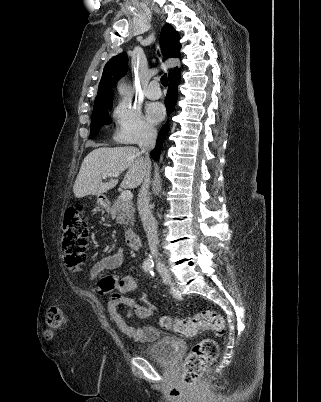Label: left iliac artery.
<instances>
[{"instance_id": "44dca946", "label": "left iliac artery", "mask_w": 321, "mask_h": 402, "mask_svg": "<svg viewBox=\"0 0 321 402\" xmlns=\"http://www.w3.org/2000/svg\"><path fill=\"white\" fill-rule=\"evenodd\" d=\"M150 274L153 276V275H154V272H153L152 270H150Z\"/></svg>"}]
</instances>
